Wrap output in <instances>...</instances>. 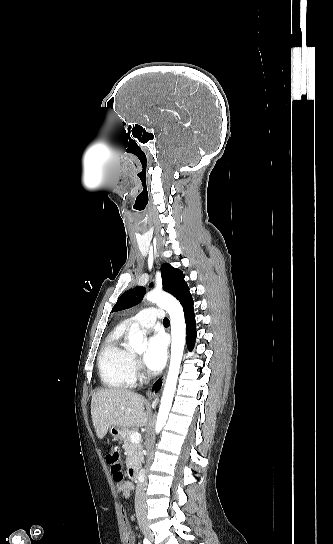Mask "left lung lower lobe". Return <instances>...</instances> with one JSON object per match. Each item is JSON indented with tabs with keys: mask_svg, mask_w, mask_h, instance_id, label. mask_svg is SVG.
Instances as JSON below:
<instances>
[{
	"mask_svg": "<svg viewBox=\"0 0 333 544\" xmlns=\"http://www.w3.org/2000/svg\"><path fill=\"white\" fill-rule=\"evenodd\" d=\"M185 321H186V333L188 348L192 349L196 338V325L195 315L193 311V302L189 301L183 306Z\"/></svg>",
	"mask_w": 333,
	"mask_h": 544,
	"instance_id": "0a47b994",
	"label": "left lung lower lobe"
}]
</instances>
